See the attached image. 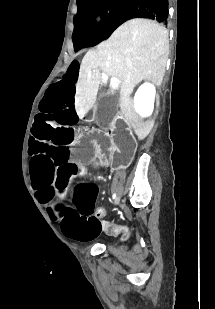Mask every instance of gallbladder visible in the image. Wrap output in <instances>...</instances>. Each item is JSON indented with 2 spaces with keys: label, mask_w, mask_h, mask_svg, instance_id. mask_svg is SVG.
<instances>
[{
  "label": "gallbladder",
  "mask_w": 215,
  "mask_h": 309,
  "mask_svg": "<svg viewBox=\"0 0 215 309\" xmlns=\"http://www.w3.org/2000/svg\"><path fill=\"white\" fill-rule=\"evenodd\" d=\"M97 108L99 114L97 121L101 125H107L111 118H114L118 108V98L115 92H106L105 96L98 98Z\"/></svg>",
  "instance_id": "obj_1"
}]
</instances>
